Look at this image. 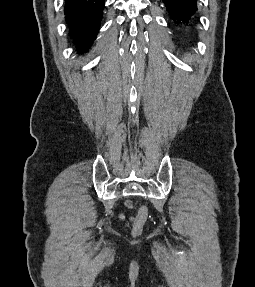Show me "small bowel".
<instances>
[{"mask_svg":"<svg viewBox=\"0 0 255 287\" xmlns=\"http://www.w3.org/2000/svg\"><path fill=\"white\" fill-rule=\"evenodd\" d=\"M127 205L129 206V205H130V203H129V202H127ZM120 218H121V219H124V215H120ZM131 220H132V221H134V218H131Z\"/></svg>","mask_w":255,"mask_h":287,"instance_id":"1","label":"small bowel"}]
</instances>
